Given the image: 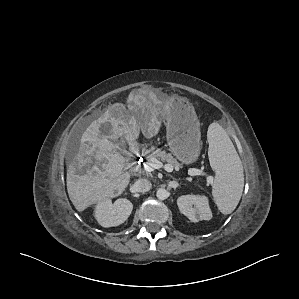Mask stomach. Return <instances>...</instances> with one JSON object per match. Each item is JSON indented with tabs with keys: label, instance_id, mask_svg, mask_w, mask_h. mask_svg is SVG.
I'll list each match as a JSON object with an SVG mask.
<instances>
[{
	"label": "stomach",
	"instance_id": "obj_1",
	"mask_svg": "<svg viewBox=\"0 0 299 299\" xmlns=\"http://www.w3.org/2000/svg\"><path fill=\"white\" fill-rule=\"evenodd\" d=\"M154 107L167 122V141L172 153L184 164L194 163L201 151V129L193 105L172 95L161 96Z\"/></svg>",
	"mask_w": 299,
	"mask_h": 299
}]
</instances>
